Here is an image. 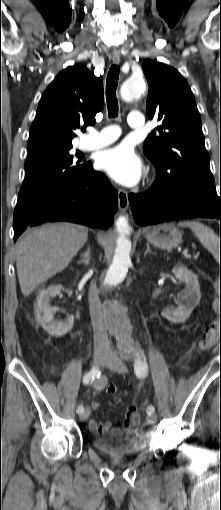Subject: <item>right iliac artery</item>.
Returning <instances> with one entry per match:
<instances>
[{"label": "right iliac artery", "instance_id": "82829eb1", "mask_svg": "<svg viewBox=\"0 0 221 510\" xmlns=\"http://www.w3.org/2000/svg\"><path fill=\"white\" fill-rule=\"evenodd\" d=\"M100 369L98 367H93L88 373H86L83 377V383L88 384L89 382H92L94 379L100 377ZM84 411V407L80 405L77 408V413H82Z\"/></svg>", "mask_w": 221, "mask_h": 510}]
</instances>
